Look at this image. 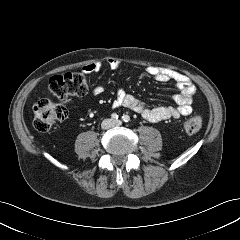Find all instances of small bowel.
Returning a JSON list of instances; mask_svg holds the SVG:
<instances>
[{
	"instance_id": "obj_1",
	"label": "small bowel",
	"mask_w": 240,
	"mask_h": 240,
	"mask_svg": "<svg viewBox=\"0 0 240 240\" xmlns=\"http://www.w3.org/2000/svg\"><path fill=\"white\" fill-rule=\"evenodd\" d=\"M107 64L112 69H118L121 63L115 58H109ZM102 63L99 61L87 63L83 67V71L87 74L97 73L101 70ZM146 73L161 83L174 81L176 87L180 91L174 96L177 106H157L151 107L136 96L127 93L123 89H118L112 107H125L150 122H159L171 118H180L188 116L192 112V103L195 97L196 88L189 78L182 73L174 70L149 66ZM104 84L95 86L92 90L94 96H98L104 92Z\"/></svg>"
}]
</instances>
